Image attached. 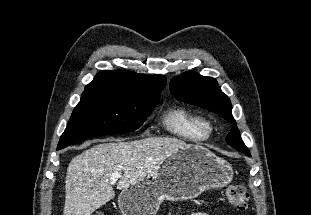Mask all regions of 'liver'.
Listing matches in <instances>:
<instances>
[{"mask_svg":"<svg viewBox=\"0 0 311 215\" xmlns=\"http://www.w3.org/2000/svg\"><path fill=\"white\" fill-rule=\"evenodd\" d=\"M186 145L175 138L149 137L110 141L85 150L67 168L64 215H91L115 197L113 173H120L117 188L127 189L147 178Z\"/></svg>","mask_w":311,"mask_h":215,"instance_id":"6515ba94","label":"liver"}]
</instances>
